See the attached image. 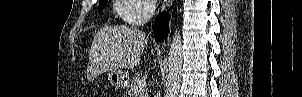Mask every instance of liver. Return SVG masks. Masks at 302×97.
<instances>
[{
	"mask_svg": "<svg viewBox=\"0 0 302 97\" xmlns=\"http://www.w3.org/2000/svg\"><path fill=\"white\" fill-rule=\"evenodd\" d=\"M149 40V35L133 27H105L93 40L89 59L96 73L136 67Z\"/></svg>",
	"mask_w": 302,
	"mask_h": 97,
	"instance_id": "6515ba94",
	"label": "liver"
}]
</instances>
